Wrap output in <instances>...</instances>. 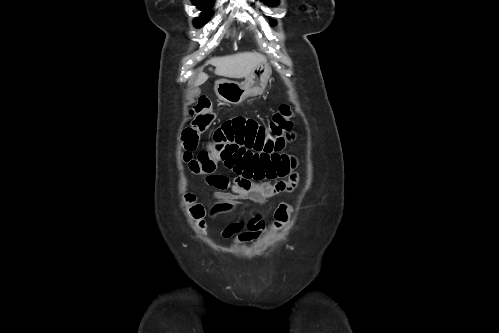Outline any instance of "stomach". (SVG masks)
Segmentation results:
<instances>
[{"mask_svg": "<svg viewBox=\"0 0 499 333\" xmlns=\"http://www.w3.org/2000/svg\"><path fill=\"white\" fill-rule=\"evenodd\" d=\"M271 72L267 63L260 64L251 71L242 83L226 79L216 81L215 93L220 100L232 105H239L247 98L263 93Z\"/></svg>", "mask_w": 499, "mask_h": 333, "instance_id": "stomach-1", "label": "stomach"}]
</instances>
